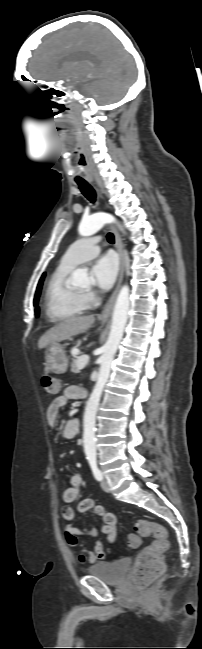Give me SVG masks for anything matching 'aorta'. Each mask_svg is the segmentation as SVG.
<instances>
[{"label":"aorta","instance_id":"obj_1","mask_svg":"<svg viewBox=\"0 0 202 649\" xmlns=\"http://www.w3.org/2000/svg\"><path fill=\"white\" fill-rule=\"evenodd\" d=\"M116 222L115 218L106 213H96L83 219L78 227L81 236H91L99 231L106 223ZM88 279L84 269H76L72 273L74 283H82ZM130 307L129 287L124 285L116 299L112 314L110 333L103 346V353L99 358L100 368L94 389L87 401L83 418V443L86 455L96 454L95 418L100 398L108 381L111 363L123 337Z\"/></svg>","mask_w":202,"mask_h":649}]
</instances>
